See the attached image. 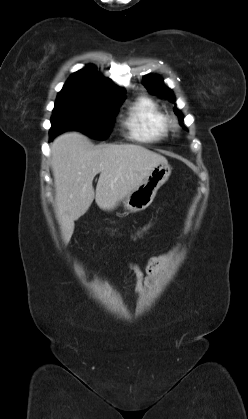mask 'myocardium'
Listing matches in <instances>:
<instances>
[{
  "instance_id": "obj_1",
  "label": "myocardium",
  "mask_w": 248,
  "mask_h": 419,
  "mask_svg": "<svg viewBox=\"0 0 248 419\" xmlns=\"http://www.w3.org/2000/svg\"><path fill=\"white\" fill-rule=\"evenodd\" d=\"M166 122H167V127L170 129H177L178 128V121L175 117L173 116H168L166 118Z\"/></svg>"
}]
</instances>
